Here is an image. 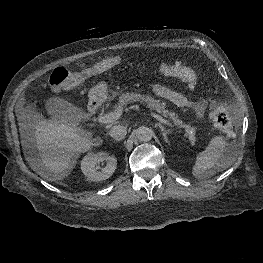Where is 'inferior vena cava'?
I'll return each instance as SVG.
<instances>
[{"mask_svg": "<svg viewBox=\"0 0 263 263\" xmlns=\"http://www.w3.org/2000/svg\"><path fill=\"white\" fill-rule=\"evenodd\" d=\"M109 134L116 141H120V140L125 138V136L127 134V130H126V127H124V126L116 125V126L112 127Z\"/></svg>", "mask_w": 263, "mask_h": 263, "instance_id": "obj_1", "label": "inferior vena cava"}]
</instances>
